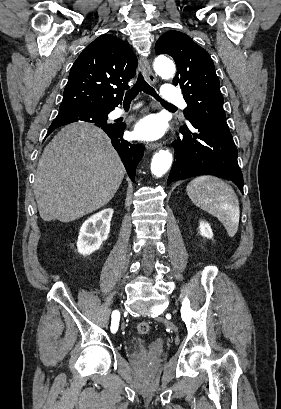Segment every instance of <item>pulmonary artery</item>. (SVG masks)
<instances>
[{
  "mask_svg": "<svg viewBox=\"0 0 281 409\" xmlns=\"http://www.w3.org/2000/svg\"><path fill=\"white\" fill-rule=\"evenodd\" d=\"M164 100L166 103H182V107H186L183 94H179L178 87L174 81H167L164 88ZM125 111L116 109L111 113L112 118H119L125 115Z\"/></svg>",
  "mask_w": 281,
  "mask_h": 409,
  "instance_id": "obj_1",
  "label": "pulmonary artery"
}]
</instances>
